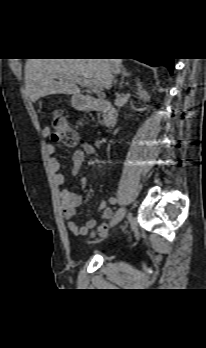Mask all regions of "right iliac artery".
Listing matches in <instances>:
<instances>
[{
    "label": "right iliac artery",
    "mask_w": 206,
    "mask_h": 348,
    "mask_svg": "<svg viewBox=\"0 0 206 348\" xmlns=\"http://www.w3.org/2000/svg\"><path fill=\"white\" fill-rule=\"evenodd\" d=\"M114 200H115V197H114L113 195H110V196H109V201H110V202H114Z\"/></svg>",
    "instance_id": "right-iliac-artery-1"
}]
</instances>
